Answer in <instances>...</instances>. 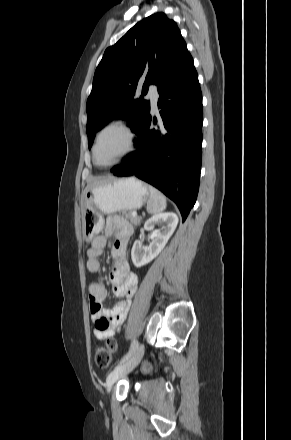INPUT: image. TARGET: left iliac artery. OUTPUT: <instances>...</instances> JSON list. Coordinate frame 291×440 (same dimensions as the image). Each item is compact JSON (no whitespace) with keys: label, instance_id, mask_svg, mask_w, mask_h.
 <instances>
[{"label":"left iliac artery","instance_id":"44dca946","mask_svg":"<svg viewBox=\"0 0 291 440\" xmlns=\"http://www.w3.org/2000/svg\"><path fill=\"white\" fill-rule=\"evenodd\" d=\"M138 348V341L133 340L131 343V347L129 352L121 359L120 364L124 363L128 358L134 353V351Z\"/></svg>","mask_w":291,"mask_h":440}]
</instances>
